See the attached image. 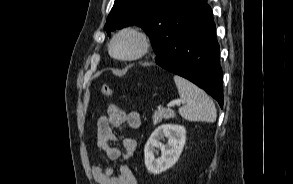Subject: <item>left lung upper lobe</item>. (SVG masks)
I'll list each match as a JSON object with an SVG mask.
<instances>
[{"label":"left lung upper lobe","instance_id":"1","mask_svg":"<svg viewBox=\"0 0 293 184\" xmlns=\"http://www.w3.org/2000/svg\"><path fill=\"white\" fill-rule=\"evenodd\" d=\"M183 0H115L104 26L110 36L115 29L139 25L150 37L154 51L158 54L169 29L173 10Z\"/></svg>","mask_w":293,"mask_h":184}]
</instances>
